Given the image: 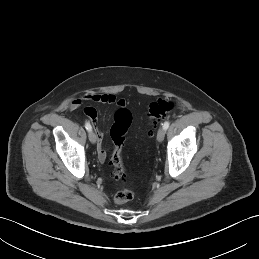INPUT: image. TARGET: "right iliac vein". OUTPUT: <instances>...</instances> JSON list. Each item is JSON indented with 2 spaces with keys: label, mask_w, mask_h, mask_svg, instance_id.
Segmentation results:
<instances>
[{
  "label": "right iliac vein",
  "mask_w": 259,
  "mask_h": 259,
  "mask_svg": "<svg viewBox=\"0 0 259 259\" xmlns=\"http://www.w3.org/2000/svg\"><path fill=\"white\" fill-rule=\"evenodd\" d=\"M88 137H89V140H90V142H91V143H93V144H95V143H96V141H97V137H96V135H95V133H94V132L89 131V135H88Z\"/></svg>",
  "instance_id": "63e3f726"
}]
</instances>
